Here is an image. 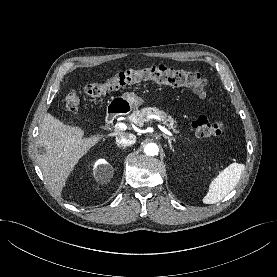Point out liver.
Segmentation results:
<instances>
[{
  "label": "liver",
  "mask_w": 277,
  "mask_h": 277,
  "mask_svg": "<svg viewBox=\"0 0 277 277\" xmlns=\"http://www.w3.org/2000/svg\"><path fill=\"white\" fill-rule=\"evenodd\" d=\"M124 132L84 137L79 126L65 124L50 113L44 115L38 134V145L45 149L38 155V164L50 189L60 194L79 160L101 139L121 136Z\"/></svg>",
  "instance_id": "6515ba94"
}]
</instances>
